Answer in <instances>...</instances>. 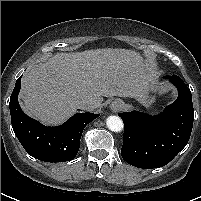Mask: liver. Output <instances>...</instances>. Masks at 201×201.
Returning a JSON list of instances; mask_svg holds the SVG:
<instances>
[{"label":"liver","mask_w":201,"mask_h":201,"mask_svg":"<svg viewBox=\"0 0 201 201\" xmlns=\"http://www.w3.org/2000/svg\"><path fill=\"white\" fill-rule=\"evenodd\" d=\"M141 55L105 48L58 53L31 66L21 82L22 109L43 124L57 125L78 109L76 101L103 97L141 99L151 81Z\"/></svg>","instance_id":"6515ba94"}]
</instances>
